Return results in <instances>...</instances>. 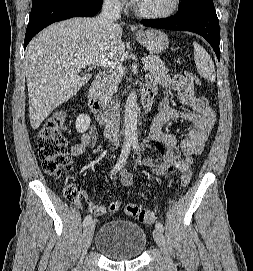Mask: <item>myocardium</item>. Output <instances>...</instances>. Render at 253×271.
I'll return each mask as SVG.
<instances>
[{
  "label": "myocardium",
  "mask_w": 253,
  "mask_h": 271,
  "mask_svg": "<svg viewBox=\"0 0 253 271\" xmlns=\"http://www.w3.org/2000/svg\"><path fill=\"white\" fill-rule=\"evenodd\" d=\"M134 11L141 17L147 19H166L177 13L181 6V0H173L171 7L163 12H148L143 10L137 3L136 0H133Z\"/></svg>",
  "instance_id": "1"
}]
</instances>
